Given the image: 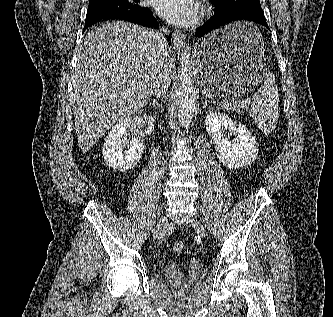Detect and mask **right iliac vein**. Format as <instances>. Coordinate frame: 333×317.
<instances>
[{"label": "right iliac vein", "instance_id": "right-iliac-vein-1", "mask_svg": "<svg viewBox=\"0 0 333 317\" xmlns=\"http://www.w3.org/2000/svg\"><path fill=\"white\" fill-rule=\"evenodd\" d=\"M167 230H168L167 218L165 216H162L158 221V224L153 234V238L154 239L162 238L166 234Z\"/></svg>", "mask_w": 333, "mask_h": 317}]
</instances>
